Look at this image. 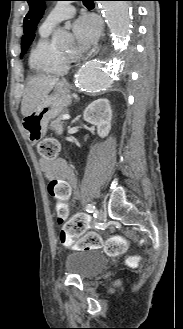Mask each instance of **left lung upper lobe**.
Masks as SVG:
<instances>
[{
	"instance_id": "obj_1",
	"label": "left lung upper lobe",
	"mask_w": 183,
	"mask_h": 329,
	"mask_svg": "<svg viewBox=\"0 0 183 329\" xmlns=\"http://www.w3.org/2000/svg\"><path fill=\"white\" fill-rule=\"evenodd\" d=\"M28 2L29 11L24 18V35L21 41V55L25 54L35 37L36 27L41 20L44 10L45 1L50 0H25Z\"/></svg>"
}]
</instances>
